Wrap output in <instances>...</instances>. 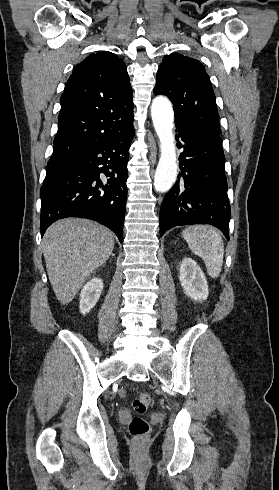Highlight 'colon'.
Masks as SVG:
<instances>
[{
    "label": "colon",
    "mask_w": 279,
    "mask_h": 490,
    "mask_svg": "<svg viewBox=\"0 0 279 490\" xmlns=\"http://www.w3.org/2000/svg\"><path fill=\"white\" fill-rule=\"evenodd\" d=\"M153 397L148 393H143L133 402L135 415L131 419L128 428L129 433L133 436L134 442H147L149 431L148 421L142 417L147 407L152 403Z\"/></svg>",
    "instance_id": "colon-1"
}]
</instances>
